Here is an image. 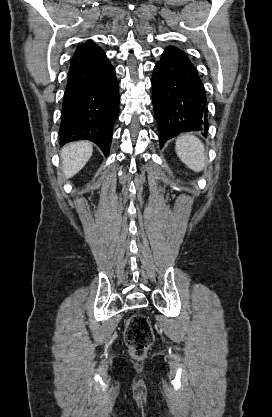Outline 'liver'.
<instances>
[{
    "instance_id": "obj_1",
    "label": "liver",
    "mask_w": 272,
    "mask_h": 417,
    "mask_svg": "<svg viewBox=\"0 0 272 417\" xmlns=\"http://www.w3.org/2000/svg\"><path fill=\"white\" fill-rule=\"evenodd\" d=\"M93 146L88 141L67 144L60 152L63 175L66 179L77 174L88 162Z\"/></svg>"
}]
</instances>
